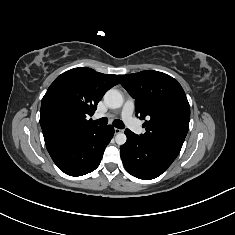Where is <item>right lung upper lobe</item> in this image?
<instances>
[{
	"label": "right lung upper lobe",
	"instance_id": "cb5924a9",
	"mask_svg": "<svg viewBox=\"0 0 235 235\" xmlns=\"http://www.w3.org/2000/svg\"><path fill=\"white\" fill-rule=\"evenodd\" d=\"M119 84L116 75L79 67L59 75L50 85L41 103L40 125L45 144L99 126L87 120L107 90Z\"/></svg>",
	"mask_w": 235,
	"mask_h": 235
}]
</instances>
